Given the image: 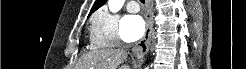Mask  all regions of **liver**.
<instances>
[{
  "mask_svg": "<svg viewBox=\"0 0 246 69\" xmlns=\"http://www.w3.org/2000/svg\"><path fill=\"white\" fill-rule=\"evenodd\" d=\"M127 58L123 49H99L82 56L76 69H117ZM121 69H129L123 65Z\"/></svg>",
  "mask_w": 246,
  "mask_h": 69,
  "instance_id": "liver-1",
  "label": "liver"
}]
</instances>
